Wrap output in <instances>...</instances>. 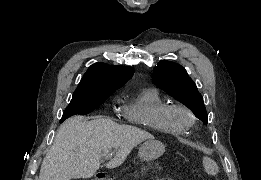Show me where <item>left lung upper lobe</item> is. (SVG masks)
I'll list each match as a JSON object with an SVG mask.
<instances>
[{
  "instance_id": "left-lung-upper-lobe-1",
  "label": "left lung upper lobe",
  "mask_w": 261,
  "mask_h": 180,
  "mask_svg": "<svg viewBox=\"0 0 261 180\" xmlns=\"http://www.w3.org/2000/svg\"><path fill=\"white\" fill-rule=\"evenodd\" d=\"M152 76L159 88L187 106L198 119L207 122L203 98L181 65L161 60L154 68Z\"/></svg>"
}]
</instances>
